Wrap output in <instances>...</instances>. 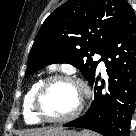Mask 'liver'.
Listing matches in <instances>:
<instances>
[{"label": "liver", "mask_w": 136, "mask_h": 136, "mask_svg": "<svg viewBox=\"0 0 136 136\" xmlns=\"http://www.w3.org/2000/svg\"><path fill=\"white\" fill-rule=\"evenodd\" d=\"M62 130V128H43L31 130L26 136H51L56 132Z\"/></svg>", "instance_id": "liver-1"}]
</instances>
